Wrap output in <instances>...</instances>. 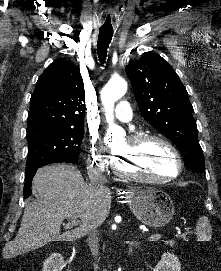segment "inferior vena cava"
I'll return each instance as SVG.
<instances>
[{
    "instance_id": "obj_1",
    "label": "inferior vena cava",
    "mask_w": 221,
    "mask_h": 271,
    "mask_svg": "<svg viewBox=\"0 0 221 271\" xmlns=\"http://www.w3.org/2000/svg\"><path fill=\"white\" fill-rule=\"evenodd\" d=\"M108 179H106L105 175H102L101 171L99 173L98 179L96 181H93L91 187L96 191L97 195H100V197H110L109 189L104 185V183H107ZM100 223H97V221H94V223H91L89 225V235L87 237V243L89 245V249L91 251V255L95 257V259H98L99 261V253H100V233H99V227Z\"/></svg>"
}]
</instances>
